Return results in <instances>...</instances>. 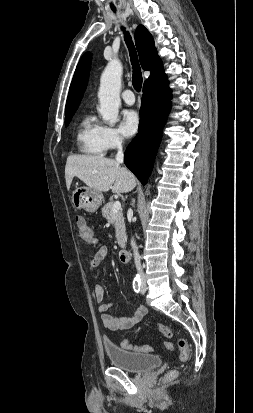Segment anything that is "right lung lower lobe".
Returning a JSON list of instances; mask_svg holds the SVG:
<instances>
[{
	"mask_svg": "<svg viewBox=\"0 0 253 413\" xmlns=\"http://www.w3.org/2000/svg\"><path fill=\"white\" fill-rule=\"evenodd\" d=\"M171 92L163 73L143 86L138 134L124 154L125 165L145 185L153 168L162 129L170 110Z\"/></svg>",
	"mask_w": 253,
	"mask_h": 413,
	"instance_id": "1",
	"label": "right lung lower lobe"
}]
</instances>
